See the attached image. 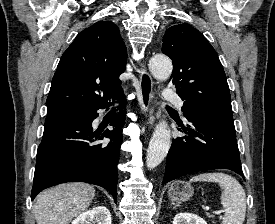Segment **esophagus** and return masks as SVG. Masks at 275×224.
<instances>
[{
	"instance_id": "esophagus-1",
	"label": "esophagus",
	"mask_w": 275,
	"mask_h": 224,
	"mask_svg": "<svg viewBox=\"0 0 275 224\" xmlns=\"http://www.w3.org/2000/svg\"><path fill=\"white\" fill-rule=\"evenodd\" d=\"M153 96V81L145 68L144 62L139 69V105L141 110L148 112Z\"/></svg>"
}]
</instances>
